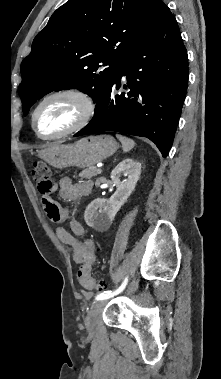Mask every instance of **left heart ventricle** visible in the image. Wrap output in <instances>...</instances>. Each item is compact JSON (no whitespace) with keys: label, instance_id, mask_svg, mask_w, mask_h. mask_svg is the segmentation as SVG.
Wrapping results in <instances>:
<instances>
[{"label":"left heart ventricle","instance_id":"1","mask_svg":"<svg viewBox=\"0 0 221 379\" xmlns=\"http://www.w3.org/2000/svg\"><path fill=\"white\" fill-rule=\"evenodd\" d=\"M80 114L79 103L71 98L60 97L48 101L36 118V128L42 135H52L70 127Z\"/></svg>","mask_w":221,"mask_h":379}]
</instances>
